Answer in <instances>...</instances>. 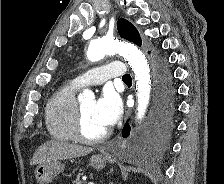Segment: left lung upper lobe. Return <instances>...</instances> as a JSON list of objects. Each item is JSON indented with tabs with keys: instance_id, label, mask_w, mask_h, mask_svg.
<instances>
[{
	"instance_id": "left-lung-upper-lobe-1",
	"label": "left lung upper lobe",
	"mask_w": 224,
	"mask_h": 184,
	"mask_svg": "<svg viewBox=\"0 0 224 184\" xmlns=\"http://www.w3.org/2000/svg\"><path fill=\"white\" fill-rule=\"evenodd\" d=\"M117 28L119 35L138 46H141V38L137 29L129 21L125 19H119L117 21Z\"/></svg>"
}]
</instances>
